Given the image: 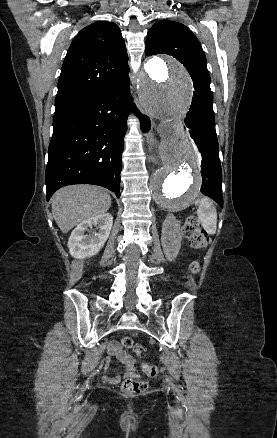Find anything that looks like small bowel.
I'll return each mask as SVG.
<instances>
[{
  "label": "small bowel",
  "mask_w": 277,
  "mask_h": 438,
  "mask_svg": "<svg viewBox=\"0 0 277 438\" xmlns=\"http://www.w3.org/2000/svg\"><path fill=\"white\" fill-rule=\"evenodd\" d=\"M110 347L113 350L114 356L124 365V377H136L138 375V371L136 368V360L129 355L127 352H125L122 347L115 342H112L110 344ZM104 367L110 366V360H104L103 361ZM113 381H118L119 377H113Z\"/></svg>",
  "instance_id": "obj_1"
}]
</instances>
